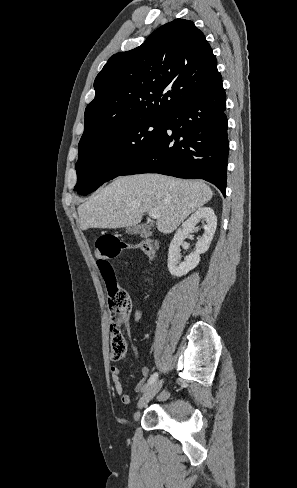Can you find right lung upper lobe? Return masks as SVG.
I'll return each instance as SVG.
<instances>
[{
  "instance_id": "right-lung-upper-lobe-1",
  "label": "right lung upper lobe",
  "mask_w": 297,
  "mask_h": 488,
  "mask_svg": "<svg viewBox=\"0 0 297 488\" xmlns=\"http://www.w3.org/2000/svg\"><path fill=\"white\" fill-rule=\"evenodd\" d=\"M219 80L204 34L192 21L175 19L141 46L110 57L94 81L81 139L94 140L144 118H167Z\"/></svg>"
}]
</instances>
